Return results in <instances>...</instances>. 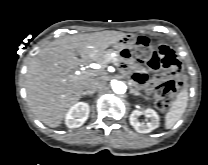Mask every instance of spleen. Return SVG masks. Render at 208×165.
Here are the masks:
<instances>
[{
  "mask_svg": "<svg viewBox=\"0 0 208 165\" xmlns=\"http://www.w3.org/2000/svg\"><path fill=\"white\" fill-rule=\"evenodd\" d=\"M188 104V92L186 90L181 91L175 101L172 104V107L165 115V128H172L178 120L184 114Z\"/></svg>",
  "mask_w": 208,
  "mask_h": 165,
  "instance_id": "spleen-1",
  "label": "spleen"
}]
</instances>
